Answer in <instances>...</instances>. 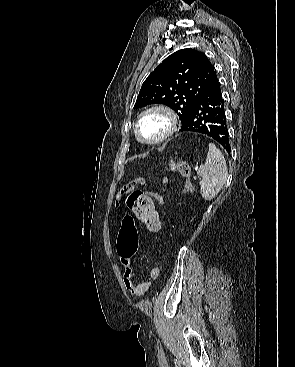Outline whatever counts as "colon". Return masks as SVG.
Instances as JSON below:
<instances>
[{
	"instance_id": "1",
	"label": "colon",
	"mask_w": 295,
	"mask_h": 367,
	"mask_svg": "<svg viewBox=\"0 0 295 367\" xmlns=\"http://www.w3.org/2000/svg\"><path fill=\"white\" fill-rule=\"evenodd\" d=\"M168 171L178 173L185 178L183 191L190 194L194 191V185L190 180L191 169L188 163L184 161H172L167 166ZM145 183L143 177H138L126 183L118 193V203L123 202L126 206L131 207L136 197L153 196L157 206H163L166 196L156 195L154 189H139ZM119 243L122 252L131 253L137 247V232L135 229L133 218L130 215L125 216L122 222V229L119 235Z\"/></svg>"
}]
</instances>
